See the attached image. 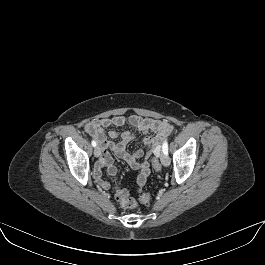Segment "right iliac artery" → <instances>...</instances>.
<instances>
[{
  "mask_svg": "<svg viewBox=\"0 0 265 265\" xmlns=\"http://www.w3.org/2000/svg\"><path fill=\"white\" fill-rule=\"evenodd\" d=\"M91 144H92L93 147H95L96 146V141L92 140Z\"/></svg>",
  "mask_w": 265,
  "mask_h": 265,
  "instance_id": "obj_1",
  "label": "right iliac artery"
}]
</instances>
